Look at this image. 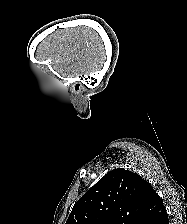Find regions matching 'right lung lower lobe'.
<instances>
[{"label": "right lung lower lobe", "instance_id": "right-lung-lower-lobe-1", "mask_svg": "<svg viewBox=\"0 0 187 224\" xmlns=\"http://www.w3.org/2000/svg\"><path fill=\"white\" fill-rule=\"evenodd\" d=\"M160 224H169L168 215L163 219Z\"/></svg>", "mask_w": 187, "mask_h": 224}]
</instances>
